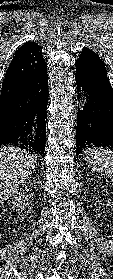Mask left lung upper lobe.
Instances as JSON below:
<instances>
[{
  "mask_svg": "<svg viewBox=\"0 0 113 279\" xmlns=\"http://www.w3.org/2000/svg\"><path fill=\"white\" fill-rule=\"evenodd\" d=\"M84 50L92 51V50H90V49H88V48H84ZM92 52H93V51H92Z\"/></svg>",
  "mask_w": 113,
  "mask_h": 279,
  "instance_id": "obj_1",
  "label": "left lung upper lobe"
}]
</instances>
